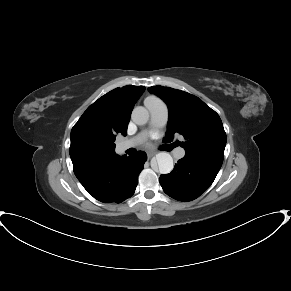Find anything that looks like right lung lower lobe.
Listing matches in <instances>:
<instances>
[{"label": "right lung lower lobe", "mask_w": 291, "mask_h": 291, "mask_svg": "<svg viewBox=\"0 0 291 291\" xmlns=\"http://www.w3.org/2000/svg\"><path fill=\"white\" fill-rule=\"evenodd\" d=\"M147 155L139 151L130 156H113L74 165V173L86 191L103 202L120 203L131 197L144 168Z\"/></svg>", "instance_id": "1"}]
</instances>
